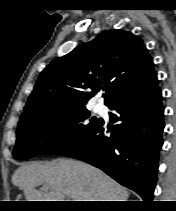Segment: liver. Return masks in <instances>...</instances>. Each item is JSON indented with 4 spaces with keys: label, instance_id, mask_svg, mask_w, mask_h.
I'll list each match as a JSON object with an SVG mask.
<instances>
[{
    "label": "liver",
    "instance_id": "liver-1",
    "mask_svg": "<svg viewBox=\"0 0 176 211\" xmlns=\"http://www.w3.org/2000/svg\"><path fill=\"white\" fill-rule=\"evenodd\" d=\"M11 180L27 201H127L129 196L126 188L100 169L67 158L24 164ZM39 185L44 191L36 189Z\"/></svg>",
    "mask_w": 176,
    "mask_h": 211
}]
</instances>
